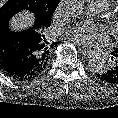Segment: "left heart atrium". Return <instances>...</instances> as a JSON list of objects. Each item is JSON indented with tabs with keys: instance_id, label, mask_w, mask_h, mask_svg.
<instances>
[{
	"instance_id": "obj_1",
	"label": "left heart atrium",
	"mask_w": 118,
	"mask_h": 118,
	"mask_svg": "<svg viewBox=\"0 0 118 118\" xmlns=\"http://www.w3.org/2000/svg\"><path fill=\"white\" fill-rule=\"evenodd\" d=\"M67 35L78 45L93 49L110 43L108 30L103 26H86L81 25L72 28Z\"/></svg>"
}]
</instances>
